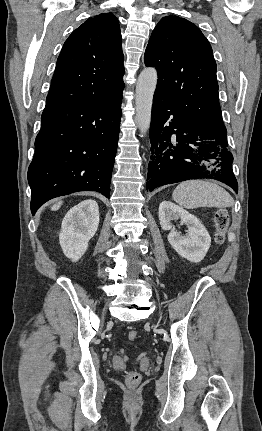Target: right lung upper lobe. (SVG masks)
Masks as SVG:
<instances>
[{
    "label": "right lung upper lobe",
    "instance_id": "obj_1",
    "mask_svg": "<svg viewBox=\"0 0 262 431\" xmlns=\"http://www.w3.org/2000/svg\"><path fill=\"white\" fill-rule=\"evenodd\" d=\"M123 59L117 18L111 13L89 18L64 43L46 105L114 99L124 88Z\"/></svg>",
    "mask_w": 262,
    "mask_h": 431
}]
</instances>
